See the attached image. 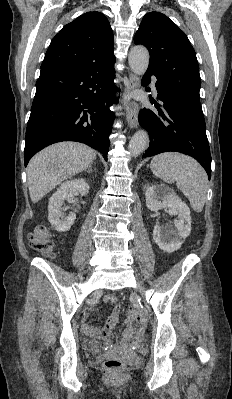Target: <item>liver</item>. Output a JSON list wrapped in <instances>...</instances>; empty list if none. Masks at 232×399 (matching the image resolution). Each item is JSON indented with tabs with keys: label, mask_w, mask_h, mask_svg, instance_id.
Instances as JSON below:
<instances>
[{
	"label": "liver",
	"mask_w": 232,
	"mask_h": 399,
	"mask_svg": "<svg viewBox=\"0 0 232 399\" xmlns=\"http://www.w3.org/2000/svg\"><path fill=\"white\" fill-rule=\"evenodd\" d=\"M96 160L94 150L76 144L60 142L36 154L28 164L27 184L34 203L41 200L55 186L86 170Z\"/></svg>",
	"instance_id": "liver-1"
}]
</instances>
